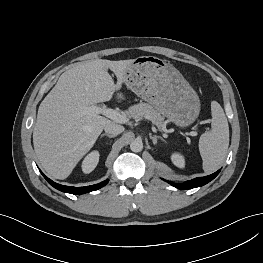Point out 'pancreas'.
Returning <instances> with one entry per match:
<instances>
[{
  "label": "pancreas",
  "mask_w": 263,
  "mask_h": 263,
  "mask_svg": "<svg viewBox=\"0 0 263 263\" xmlns=\"http://www.w3.org/2000/svg\"><path fill=\"white\" fill-rule=\"evenodd\" d=\"M128 115L133 118L140 116L150 119L158 128L164 127V118L151 105L140 102L129 108Z\"/></svg>",
  "instance_id": "pancreas-1"
}]
</instances>
